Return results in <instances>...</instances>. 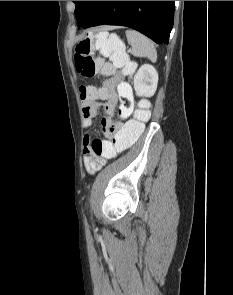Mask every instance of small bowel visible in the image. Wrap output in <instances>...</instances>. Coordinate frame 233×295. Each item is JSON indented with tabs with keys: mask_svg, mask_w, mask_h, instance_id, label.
Masks as SVG:
<instances>
[{
	"mask_svg": "<svg viewBox=\"0 0 233 295\" xmlns=\"http://www.w3.org/2000/svg\"><path fill=\"white\" fill-rule=\"evenodd\" d=\"M84 125H93L100 107H103L106 117L101 120L103 131L106 133L109 127L120 128L122 121L128 119L134 109V96L130 84L120 77L106 81L102 92L95 97L82 99ZM118 112L119 121H114L113 116ZM91 136L87 135L84 141L83 164L90 174L98 172L107 162L106 157L96 155L90 148Z\"/></svg>",
	"mask_w": 233,
	"mask_h": 295,
	"instance_id": "c3829d8e",
	"label": "small bowel"
}]
</instances>
